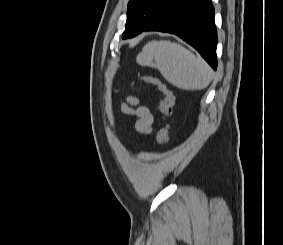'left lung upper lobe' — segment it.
Listing matches in <instances>:
<instances>
[{
  "label": "left lung upper lobe",
  "instance_id": "obj_1",
  "mask_svg": "<svg viewBox=\"0 0 283 245\" xmlns=\"http://www.w3.org/2000/svg\"><path fill=\"white\" fill-rule=\"evenodd\" d=\"M173 0H130L127 22L122 38H131L141 33L161 15Z\"/></svg>",
  "mask_w": 283,
  "mask_h": 245
}]
</instances>
